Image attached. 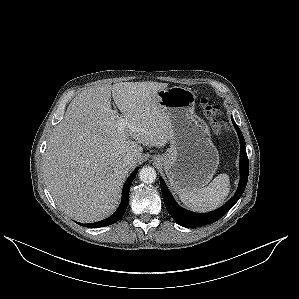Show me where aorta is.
Wrapping results in <instances>:
<instances>
[{"label": "aorta", "mask_w": 299, "mask_h": 299, "mask_svg": "<svg viewBox=\"0 0 299 299\" xmlns=\"http://www.w3.org/2000/svg\"><path fill=\"white\" fill-rule=\"evenodd\" d=\"M157 173L154 168L150 166L143 167L139 172V178L142 182L151 184L155 182Z\"/></svg>", "instance_id": "762f6f07"}]
</instances>
